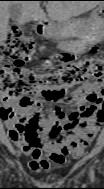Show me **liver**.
<instances>
[{"mask_svg": "<svg viewBox=\"0 0 104 189\" xmlns=\"http://www.w3.org/2000/svg\"><path fill=\"white\" fill-rule=\"evenodd\" d=\"M9 1L0 3L1 9V40L7 38L9 31L8 12L10 5H17L20 8V15L17 18L19 25L30 21H40L46 18V14L40 7L39 1H16L9 4ZM101 3L97 1H49L47 4V13L50 19L57 21L59 24H65L71 21L74 16L81 15Z\"/></svg>", "mask_w": 104, "mask_h": 189, "instance_id": "liver-1", "label": "liver"}]
</instances>
